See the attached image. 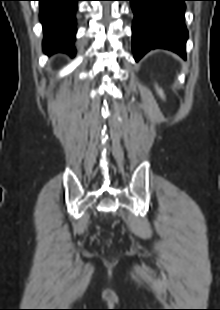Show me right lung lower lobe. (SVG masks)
Here are the masks:
<instances>
[{
    "label": "right lung lower lobe",
    "instance_id": "right-lung-lower-lobe-1",
    "mask_svg": "<svg viewBox=\"0 0 220 310\" xmlns=\"http://www.w3.org/2000/svg\"><path fill=\"white\" fill-rule=\"evenodd\" d=\"M40 21L44 29L43 51L75 55L77 2L81 0H38Z\"/></svg>",
    "mask_w": 220,
    "mask_h": 310
}]
</instances>
